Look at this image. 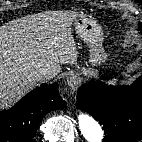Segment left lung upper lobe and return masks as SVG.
<instances>
[{
    "instance_id": "obj_1",
    "label": "left lung upper lobe",
    "mask_w": 142,
    "mask_h": 142,
    "mask_svg": "<svg viewBox=\"0 0 142 142\" xmlns=\"http://www.w3.org/2000/svg\"><path fill=\"white\" fill-rule=\"evenodd\" d=\"M139 26H140V28H141L140 31L142 32V24H140Z\"/></svg>"
}]
</instances>
